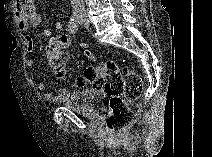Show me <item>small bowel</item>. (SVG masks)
Masks as SVG:
<instances>
[{
  "mask_svg": "<svg viewBox=\"0 0 212 157\" xmlns=\"http://www.w3.org/2000/svg\"><path fill=\"white\" fill-rule=\"evenodd\" d=\"M16 20L18 28L26 32L30 27H36L41 23V16L38 13L35 4L33 1H22L16 4ZM55 29L61 30L63 28V22L58 20L55 22ZM45 37H50L52 35V30L47 28L43 31ZM25 46L27 53H32L35 47L34 38L31 35L25 36ZM28 66L34 64L32 58L26 60ZM34 87L38 90L45 89V83L43 81H38L34 83ZM68 97V92L65 89H60L56 94H53L49 91L45 93V99L50 103H57L65 100Z\"/></svg>",
  "mask_w": 212,
  "mask_h": 157,
  "instance_id": "c3829d8e",
  "label": "small bowel"
}]
</instances>
